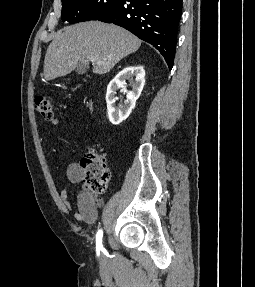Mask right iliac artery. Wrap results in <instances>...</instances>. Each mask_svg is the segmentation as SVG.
Returning a JSON list of instances; mask_svg holds the SVG:
<instances>
[{"label":"right iliac artery","mask_w":255,"mask_h":287,"mask_svg":"<svg viewBox=\"0 0 255 287\" xmlns=\"http://www.w3.org/2000/svg\"><path fill=\"white\" fill-rule=\"evenodd\" d=\"M102 237H103V232H102V230H99V231L97 232V235H96V248H97V251H98V252H99L100 250H103Z\"/></svg>","instance_id":"obj_1"}]
</instances>
